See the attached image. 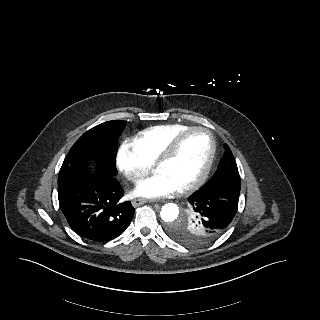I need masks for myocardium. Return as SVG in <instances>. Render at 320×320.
Returning a JSON list of instances; mask_svg holds the SVG:
<instances>
[{"label": "myocardium", "instance_id": "obj_1", "mask_svg": "<svg viewBox=\"0 0 320 320\" xmlns=\"http://www.w3.org/2000/svg\"><path fill=\"white\" fill-rule=\"evenodd\" d=\"M195 132H203L209 137L210 141V152L209 156L207 159V162L201 172V174L193 181L190 183L182 186L179 188V192H188L191 190H194L201 186L207 177L210 174V171L212 169L215 156H216V140L211 133V131L205 127L201 126H193L189 127L186 130L180 132L177 134L171 141L170 143L166 146V148L163 150V152L156 158L154 161V167L157 168L159 165L169 161L177 152L181 142L190 134L195 133Z\"/></svg>", "mask_w": 320, "mask_h": 320}]
</instances>
